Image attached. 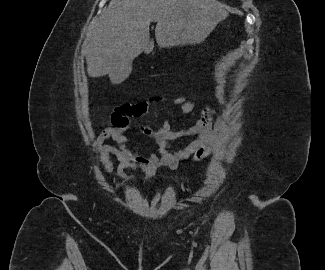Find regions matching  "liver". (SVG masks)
Segmentation results:
<instances>
[{
  "label": "liver",
  "instance_id": "obj_1",
  "mask_svg": "<svg viewBox=\"0 0 325 270\" xmlns=\"http://www.w3.org/2000/svg\"><path fill=\"white\" fill-rule=\"evenodd\" d=\"M227 16L215 0H111L84 42L88 75L108 74L112 83H122L134 58L154 47L151 22H157L156 41L165 48L202 42ZM122 64L129 71L114 72Z\"/></svg>",
  "mask_w": 325,
  "mask_h": 270
}]
</instances>
